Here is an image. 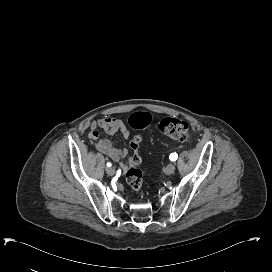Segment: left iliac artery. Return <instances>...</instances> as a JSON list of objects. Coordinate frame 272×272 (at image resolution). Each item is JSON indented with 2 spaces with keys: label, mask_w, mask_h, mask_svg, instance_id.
I'll return each instance as SVG.
<instances>
[{
  "label": "left iliac artery",
  "mask_w": 272,
  "mask_h": 272,
  "mask_svg": "<svg viewBox=\"0 0 272 272\" xmlns=\"http://www.w3.org/2000/svg\"><path fill=\"white\" fill-rule=\"evenodd\" d=\"M178 158V154L177 153H171L170 156H169V159L171 161H176Z\"/></svg>",
  "instance_id": "left-iliac-artery-1"
}]
</instances>
